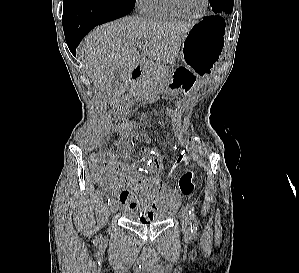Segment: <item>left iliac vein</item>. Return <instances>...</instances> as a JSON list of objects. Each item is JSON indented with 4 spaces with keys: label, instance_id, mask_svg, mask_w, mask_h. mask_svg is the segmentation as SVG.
Wrapping results in <instances>:
<instances>
[{
    "label": "left iliac vein",
    "instance_id": "obj_1",
    "mask_svg": "<svg viewBox=\"0 0 299 273\" xmlns=\"http://www.w3.org/2000/svg\"><path fill=\"white\" fill-rule=\"evenodd\" d=\"M182 230L186 236L191 235V222L187 208H182Z\"/></svg>",
    "mask_w": 299,
    "mask_h": 273
}]
</instances>
